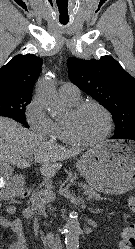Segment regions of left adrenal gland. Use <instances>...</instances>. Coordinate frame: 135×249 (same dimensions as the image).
<instances>
[{"mask_svg":"<svg viewBox=\"0 0 135 249\" xmlns=\"http://www.w3.org/2000/svg\"><path fill=\"white\" fill-rule=\"evenodd\" d=\"M89 211L91 212V213H93V214H98V213H100V209H92V208H89Z\"/></svg>","mask_w":135,"mask_h":249,"instance_id":"1","label":"left adrenal gland"}]
</instances>
